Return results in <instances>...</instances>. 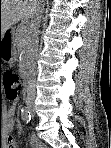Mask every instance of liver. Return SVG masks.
<instances>
[{"label": "liver", "instance_id": "obj_1", "mask_svg": "<svg viewBox=\"0 0 111 148\" xmlns=\"http://www.w3.org/2000/svg\"><path fill=\"white\" fill-rule=\"evenodd\" d=\"M39 0H1L0 1V33L6 31L20 20H28L34 13Z\"/></svg>", "mask_w": 111, "mask_h": 148}]
</instances>
